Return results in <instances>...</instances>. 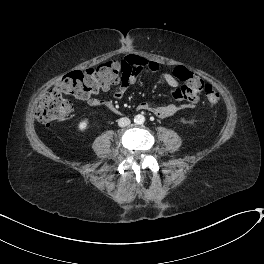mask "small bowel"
Masks as SVG:
<instances>
[{"label":"small bowel","instance_id":"obj_1","mask_svg":"<svg viewBox=\"0 0 264 264\" xmlns=\"http://www.w3.org/2000/svg\"><path fill=\"white\" fill-rule=\"evenodd\" d=\"M127 58V63L125 68H122L121 70L119 83L113 93L115 99H121L126 94L129 88L136 83L139 74L143 70H148L153 73H158L161 71V67L156 61L136 56H128ZM161 77L170 87L176 88L180 84L179 79L174 76L170 69L162 70ZM82 100L91 106H99L105 102V100L93 96L84 97ZM195 103L196 100L193 99L190 101L189 106H193ZM137 109L152 112L159 118H168L172 116L177 110L176 106L171 103L164 105H152L147 101L138 103Z\"/></svg>","mask_w":264,"mask_h":264}]
</instances>
